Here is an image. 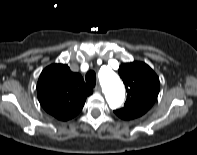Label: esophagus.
I'll return each instance as SVG.
<instances>
[{
  "instance_id": "1",
  "label": "esophagus",
  "mask_w": 197,
  "mask_h": 155,
  "mask_svg": "<svg viewBox=\"0 0 197 155\" xmlns=\"http://www.w3.org/2000/svg\"><path fill=\"white\" fill-rule=\"evenodd\" d=\"M95 91L101 92V86H100V85H97V86L95 87Z\"/></svg>"
}]
</instances>
